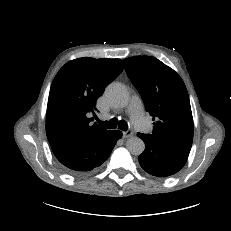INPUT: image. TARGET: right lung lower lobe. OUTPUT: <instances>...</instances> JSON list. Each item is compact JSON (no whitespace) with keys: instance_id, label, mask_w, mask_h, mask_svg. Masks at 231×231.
<instances>
[{"instance_id":"right-lung-lower-lobe-1","label":"right lung lower lobe","mask_w":231,"mask_h":231,"mask_svg":"<svg viewBox=\"0 0 231 231\" xmlns=\"http://www.w3.org/2000/svg\"><path fill=\"white\" fill-rule=\"evenodd\" d=\"M121 137L122 133L114 130L88 139L50 145L64 169L72 175H79L102 165Z\"/></svg>"}]
</instances>
